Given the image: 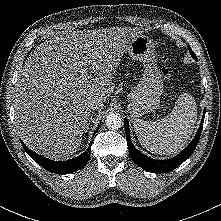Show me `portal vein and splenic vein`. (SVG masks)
<instances>
[{"mask_svg": "<svg viewBox=\"0 0 221 221\" xmlns=\"http://www.w3.org/2000/svg\"><path fill=\"white\" fill-rule=\"evenodd\" d=\"M81 78H82V79H87V78H89V74H88V72H87V70H86L85 67L81 69Z\"/></svg>", "mask_w": 221, "mask_h": 221, "instance_id": "obj_1", "label": "portal vein and splenic vein"}]
</instances>
